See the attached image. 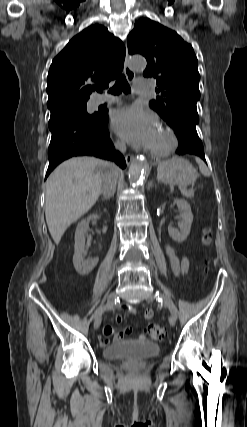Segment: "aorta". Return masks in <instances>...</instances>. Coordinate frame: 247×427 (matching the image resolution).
Here are the masks:
<instances>
[{
	"label": "aorta",
	"mask_w": 247,
	"mask_h": 427,
	"mask_svg": "<svg viewBox=\"0 0 247 427\" xmlns=\"http://www.w3.org/2000/svg\"><path fill=\"white\" fill-rule=\"evenodd\" d=\"M129 66L133 70H140L146 66L145 59L141 56H133L129 58ZM148 168L147 163L142 159H135L129 167V182L133 187L140 184L146 170Z\"/></svg>",
	"instance_id": "aorta-1"
}]
</instances>
